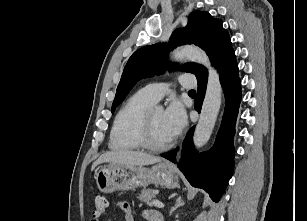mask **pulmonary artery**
I'll list each match as a JSON object with an SVG mask.
<instances>
[{
	"instance_id": "e3ab8cb5",
	"label": "pulmonary artery",
	"mask_w": 307,
	"mask_h": 221,
	"mask_svg": "<svg viewBox=\"0 0 307 221\" xmlns=\"http://www.w3.org/2000/svg\"><path fill=\"white\" fill-rule=\"evenodd\" d=\"M179 82L184 88L195 87V80L191 74L180 75ZM168 91L169 85L165 83H152L141 89V92L154 103L158 102Z\"/></svg>"
}]
</instances>
